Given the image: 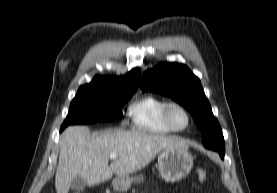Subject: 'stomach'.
<instances>
[{"label": "stomach", "mask_w": 277, "mask_h": 193, "mask_svg": "<svg viewBox=\"0 0 277 193\" xmlns=\"http://www.w3.org/2000/svg\"><path fill=\"white\" fill-rule=\"evenodd\" d=\"M193 166V157L187 148L164 149L158 160V168L162 178L167 182H177L188 175ZM143 177L117 175L112 180L115 191H127L133 182H140Z\"/></svg>", "instance_id": "1"}]
</instances>
